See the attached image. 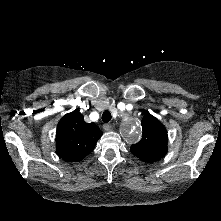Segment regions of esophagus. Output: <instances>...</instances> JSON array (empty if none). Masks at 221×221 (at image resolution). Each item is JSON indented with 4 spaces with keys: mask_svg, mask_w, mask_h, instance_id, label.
<instances>
[{
    "mask_svg": "<svg viewBox=\"0 0 221 221\" xmlns=\"http://www.w3.org/2000/svg\"><path fill=\"white\" fill-rule=\"evenodd\" d=\"M103 129H104L105 131H110V130L112 129V125H111L110 123H105V124L103 125Z\"/></svg>",
    "mask_w": 221,
    "mask_h": 221,
    "instance_id": "esophagus-1",
    "label": "esophagus"
}]
</instances>
